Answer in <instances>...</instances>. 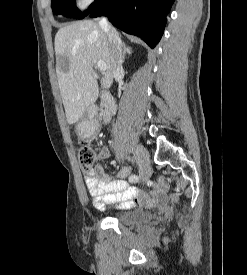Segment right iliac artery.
<instances>
[{"mask_svg": "<svg viewBox=\"0 0 247 275\" xmlns=\"http://www.w3.org/2000/svg\"><path fill=\"white\" fill-rule=\"evenodd\" d=\"M129 181H130L131 183L137 182V181H138L137 175H131V176L129 177Z\"/></svg>", "mask_w": 247, "mask_h": 275, "instance_id": "82829eb1", "label": "right iliac artery"}]
</instances>
